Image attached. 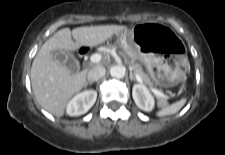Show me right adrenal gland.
I'll return each mask as SVG.
<instances>
[{
	"label": "right adrenal gland",
	"mask_w": 225,
	"mask_h": 155,
	"mask_svg": "<svg viewBox=\"0 0 225 155\" xmlns=\"http://www.w3.org/2000/svg\"><path fill=\"white\" fill-rule=\"evenodd\" d=\"M88 84L91 85V84H93V82H90V81L86 82V83H85V87H86Z\"/></svg>",
	"instance_id": "obj_1"
}]
</instances>
